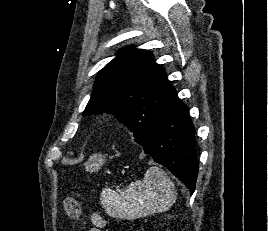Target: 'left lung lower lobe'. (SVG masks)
<instances>
[{"mask_svg": "<svg viewBox=\"0 0 268 231\" xmlns=\"http://www.w3.org/2000/svg\"><path fill=\"white\" fill-rule=\"evenodd\" d=\"M136 141L146 154L168 168L193 194L198 175L195 128L182 101L178 99L154 128Z\"/></svg>", "mask_w": 268, "mask_h": 231, "instance_id": "left-lung-lower-lobe-1", "label": "left lung lower lobe"}]
</instances>
